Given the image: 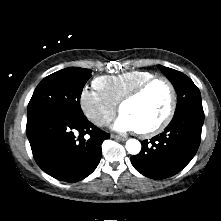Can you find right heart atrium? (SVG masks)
I'll list each match as a JSON object with an SVG mask.
<instances>
[{"mask_svg":"<svg viewBox=\"0 0 221 221\" xmlns=\"http://www.w3.org/2000/svg\"><path fill=\"white\" fill-rule=\"evenodd\" d=\"M80 106L84 115L98 127L108 124L117 111V104L96 88L82 90Z\"/></svg>","mask_w":221,"mask_h":221,"instance_id":"right-heart-atrium-1","label":"right heart atrium"}]
</instances>
